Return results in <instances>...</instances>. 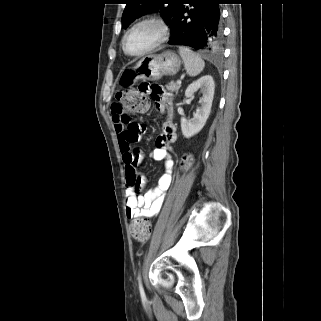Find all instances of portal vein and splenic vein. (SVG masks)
<instances>
[{"mask_svg":"<svg viewBox=\"0 0 321 321\" xmlns=\"http://www.w3.org/2000/svg\"><path fill=\"white\" fill-rule=\"evenodd\" d=\"M177 83H178V84H181V80H178Z\"/></svg>","mask_w":321,"mask_h":321,"instance_id":"portal-vein-and-splenic-vein-1","label":"portal vein and splenic vein"}]
</instances>
